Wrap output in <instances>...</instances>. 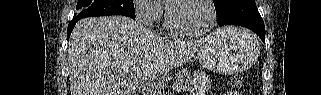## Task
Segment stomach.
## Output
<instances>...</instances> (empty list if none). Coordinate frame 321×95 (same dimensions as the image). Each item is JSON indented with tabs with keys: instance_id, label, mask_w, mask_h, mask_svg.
I'll return each instance as SVG.
<instances>
[{
	"instance_id": "0dacf381",
	"label": "stomach",
	"mask_w": 321,
	"mask_h": 95,
	"mask_svg": "<svg viewBox=\"0 0 321 95\" xmlns=\"http://www.w3.org/2000/svg\"><path fill=\"white\" fill-rule=\"evenodd\" d=\"M259 51V43L253 34L226 27L212 34L200 46L197 57L205 68L231 74L251 66Z\"/></svg>"
}]
</instances>
